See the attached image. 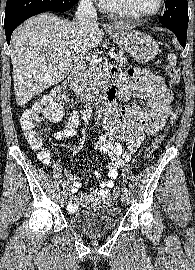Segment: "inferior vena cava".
Instances as JSON below:
<instances>
[{
  "label": "inferior vena cava",
  "instance_id": "inferior-vena-cava-1",
  "mask_svg": "<svg viewBox=\"0 0 195 270\" xmlns=\"http://www.w3.org/2000/svg\"><path fill=\"white\" fill-rule=\"evenodd\" d=\"M76 17V29L84 34L87 29L96 24L97 21V12L93 6L92 0H81L77 12L75 14ZM86 49L82 48L77 52V55L74 57V62L76 64L83 63V58L85 57ZM92 113V108L90 103H87L85 109L82 111L83 119L87 120L90 118Z\"/></svg>",
  "mask_w": 195,
  "mask_h": 270
}]
</instances>
